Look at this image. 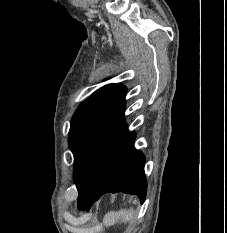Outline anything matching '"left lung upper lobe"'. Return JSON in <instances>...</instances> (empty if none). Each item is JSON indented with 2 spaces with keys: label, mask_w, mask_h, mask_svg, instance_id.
<instances>
[{
  "label": "left lung upper lobe",
  "mask_w": 227,
  "mask_h": 233,
  "mask_svg": "<svg viewBox=\"0 0 227 233\" xmlns=\"http://www.w3.org/2000/svg\"><path fill=\"white\" fill-rule=\"evenodd\" d=\"M125 96L123 85H105L81 103L72 117L69 147L78 200L97 189L111 157L128 135Z\"/></svg>",
  "instance_id": "1"
}]
</instances>
